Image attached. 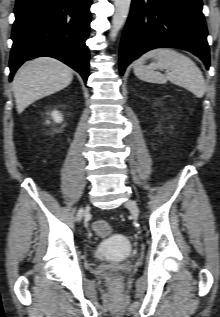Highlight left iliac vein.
Wrapping results in <instances>:
<instances>
[{"mask_svg":"<svg viewBox=\"0 0 220 317\" xmlns=\"http://www.w3.org/2000/svg\"><path fill=\"white\" fill-rule=\"evenodd\" d=\"M125 205L132 212L133 215L138 216L139 209L135 201L128 200Z\"/></svg>","mask_w":220,"mask_h":317,"instance_id":"left-iliac-vein-1","label":"left iliac vein"}]
</instances>
